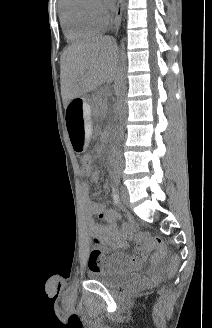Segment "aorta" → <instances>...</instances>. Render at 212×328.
I'll return each instance as SVG.
<instances>
[{
	"label": "aorta",
	"mask_w": 212,
	"mask_h": 328,
	"mask_svg": "<svg viewBox=\"0 0 212 328\" xmlns=\"http://www.w3.org/2000/svg\"><path fill=\"white\" fill-rule=\"evenodd\" d=\"M125 44L122 40L121 42V57L119 64V71L115 81V90L117 93V103L116 110L119 121V136L122 138L124 136V122L127 114V62L125 57ZM115 167H112V180H121L123 174V167L121 166V154L117 152L114 157Z\"/></svg>",
	"instance_id": "aorta-1"
}]
</instances>
